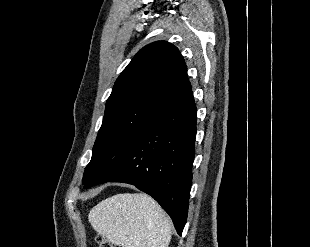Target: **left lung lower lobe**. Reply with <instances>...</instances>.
<instances>
[{"label": "left lung lower lobe", "instance_id": "obj_1", "mask_svg": "<svg viewBox=\"0 0 310 247\" xmlns=\"http://www.w3.org/2000/svg\"><path fill=\"white\" fill-rule=\"evenodd\" d=\"M196 113L190 91L163 112L96 183L135 185L152 196L170 215L179 235L188 214Z\"/></svg>", "mask_w": 310, "mask_h": 247}]
</instances>
